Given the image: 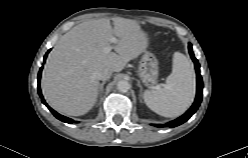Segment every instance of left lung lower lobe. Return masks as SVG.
<instances>
[{"instance_id":"0a47b994","label":"left lung lower lobe","mask_w":248,"mask_h":158,"mask_svg":"<svg viewBox=\"0 0 248 158\" xmlns=\"http://www.w3.org/2000/svg\"><path fill=\"white\" fill-rule=\"evenodd\" d=\"M188 48H189L190 56H191V58H192V60H193V62L195 64L196 75H197L196 99H195L193 105L191 106V108L184 115H182L181 117H179L176 120L171 121V122H169L167 124H157L156 126L159 127V128H162V127H176V126L186 122L196 112V110L198 109V107H199V105L201 103L203 82H202V77H201L200 72H199L200 66H199V63H198L197 59L194 57L191 44H189Z\"/></svg>"}]
</instances>
